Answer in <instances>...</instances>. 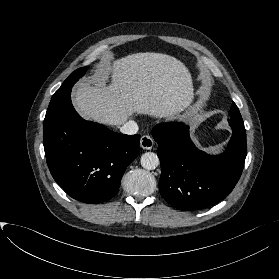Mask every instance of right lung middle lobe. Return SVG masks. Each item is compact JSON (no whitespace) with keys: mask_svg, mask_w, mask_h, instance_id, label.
I'll list each match as a JSON object with an SVG mask.
<instances>
[{"mask_svg":"<svg viewBox=\"0 0 279 279\" xmlns=\"http://www.w3.org/2000/svg\"><path fill=\"white\" fill-rule=\"evenodd\" d=\"M87 69L88 67H81L70 74V76L64 81L61 87L54 93L49 104L46 116L52 114L70 99V93L73 84L85 74Z\"/></svg>","mask_w":279,"mask_h":279,"instance_id":"dd1d6c3e","label":"right lung middle lobe"}]
</instances>
